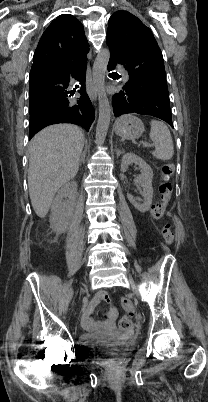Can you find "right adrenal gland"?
Listing matches in <instances>:
<instances>
[{
  "mask_svg": "<svg viewBox=\"0 0 208 402\" xmlns=\"http://www.w3.org/2000/svg\"><path fill=\"white\" fill-rule=\"evenodd\" d=\"M85 152H86V150H84L83 154H81L80 164H82V162H84V160H85Z\"/></svg>",
  "mask_w": 208,
  "mask_h": 402,
  "instance_id": "obj_1",
  "label": "right adrenal gland"
}]
</instances>
